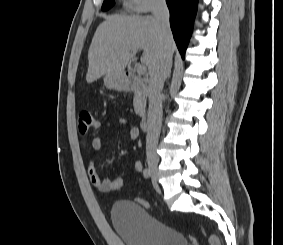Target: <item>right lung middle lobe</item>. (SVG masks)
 I'll list each match as a JSON object with an SVG mask.
<instances>
[{
	"label": "right lung middle lobe",
	"mask_w": 283,
	"mask_h": 245,
	"mask_svg": "<svg viewBox=\"0 0 283 245\" xmlns=\"http://www.w3.org/2000/svg\"><path fill=\"white\" fill-rule=\"evenodd\" d=\"M114 0H104L102 10H108L113 6Z\"/></svg>",
	"instance_id": "right-lung-middle-lobe-1"
}]
</instances>
